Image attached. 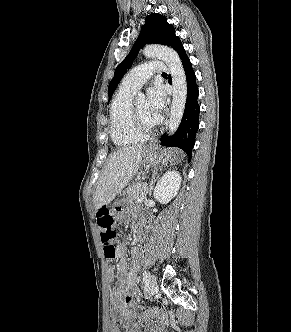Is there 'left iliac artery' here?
<instances>
[{
    "label": "left iliac artery",
    "mask_w": 291,
    "mask_h": 332,
    "mask_svg": "<svg viewBox=\"0 0 291 332\" xmlns=\"http://www.w3.org/2000/svg\"><path fill=\"white\" fill-rule=\"evenodd\" d=\"M150 277V273L148 271H144L143 273V281L147 282Z\"/></svg>",
    "instance_id": "44dca946"
}]
</instances>
